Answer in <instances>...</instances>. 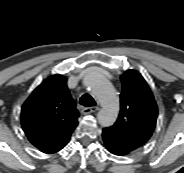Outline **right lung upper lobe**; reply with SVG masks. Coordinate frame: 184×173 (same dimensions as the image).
Wrapping results in <instances>:
<instances>
[{
	"instance_id": "cb5924a9",
	"label": "right lung upper lobe",
	"mask_w": 184,
	"mask_h": 173,
	"mask_svg": "<svg viewBox=\"0 0 184 173\" xmlns=\"http://www.w3.org/2000/svg\"><path fill=\"white\" fill-rule=\"evenodd\" d=\"M66 81L60 74L50 76L22 106L21 124L27 138L47 154L64 148L78 125L79 112Z\"/></svg>"
}]
</instances>
